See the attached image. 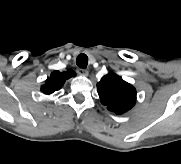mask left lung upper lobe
Listing matches in <instances>:
<instances>
[{
  "instance_id": "obj_1",
  "label": "left lung upper lobe",
  "mask_w": 181,
  "mask_h": 164,
  "mask_svg": "<svg viewBox=\"0 0 181 164\" xmlns=\"http://www.w3.org/2000/svg\"><path fill=\"white\" fill-rule=\"evenodd\" d=\"M97 90L101 103L116 114H123L135 105L136 89L114 72L101 78Z\"/></svg>"
}]
</instances>
